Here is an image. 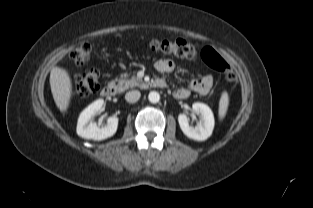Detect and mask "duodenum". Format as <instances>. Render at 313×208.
I'll use <instances>...</instances> for the list:
<instances>
[{"mask_svg": "<svg viewBox=\"0 0 313 208\" xmlns=\"http://www.w3.org/2000/svg\"><path fill=\"white\" fill-rule=\"evenodd\" d=\"M166 86V82L162 79H155L148 82H143L142 87L149 88H159L162 89ZM118 88L114 83H108L103 86L101 94L104 97H113L117 94Z\"/></svg>", "mask_w": 313, "mask_h": 208, "instance_id": "duodenum-1", "label": "duodenum"}]
</instances>
